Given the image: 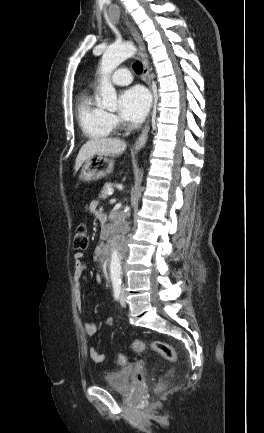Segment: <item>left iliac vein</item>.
Masks as SVG:
<instances>
[{
	"label": "left iliac vein",
	"mask_w": 264,
	"mask_h": 433,
	"mask_svg": "<svg viewBox=\"0 0 264 433\" xmlns=\"http://www.w3.org/2000/svg\"><path fill=\"white\" fill-rule=\"evenodd\" d=\"M120 304L123 306V307H125L126 306V304H127V302H126V297H125V293H124V291H121V294H120Z\"/></svg>",
	"instance_id": "left-iliac-vein-1"
}]
</instances>
